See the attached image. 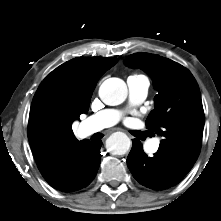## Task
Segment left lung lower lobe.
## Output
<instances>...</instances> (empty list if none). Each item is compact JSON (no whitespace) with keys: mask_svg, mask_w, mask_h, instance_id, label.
I'll return each mask as SVG.
<instances>
[{"mask_svg":"<svg viewBox=\"0 0 221 221\" xmlns=\"http://www.w3.org/2000/svg\"><path fill=\"white\" fill-rule=\"evenodd\" d=\"M127 166L140 184L154 190L170 188L184 178L158 152L148 157L143 152L141 143L136 139L132 140Z\"/></svg>","mask_w":221,"mask_h":221,"instance_id":"1","label":"left lung lower lobe"}]
</instances>
